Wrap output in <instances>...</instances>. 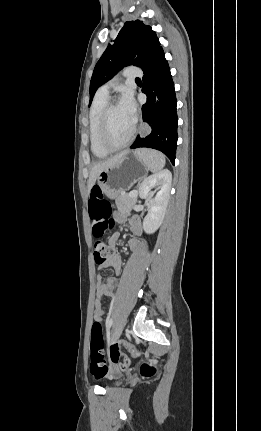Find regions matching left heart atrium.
<instances>
[{
	"instance_id": "39dd6f15",
	"label": "left heart atrium",
	"mask_w": 261,
	"mask_h": 431,
	"mask_svg": "<svg viewBox=\"0 0 261 431\" xmlns=\"http://www.w3.org/2000/svg\"><path fill=\"white\" fill-rule=\"evenodd\" d=\"M119 105L134 122L136 119V104L132 94L129 92H125L120 99Z\"/></svg>"
}]
</instances>
